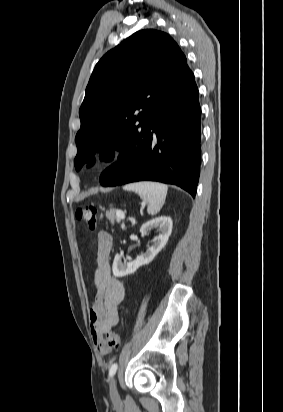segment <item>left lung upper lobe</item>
<instances>
[{
  "label": "left lung upper lobe",
  "mask_w": 283,
  "mask_h": 412,
  "mask_svg": "<svg viewBox=\"0 0 283 412\" xmlns=\"http://www.w3.org/2000/svg\"><path fill=\"white\" fill-rule=\"evenodd\" d=\"M191 72L186 57L166 33L141 30L96 64L79 110L75 168L114 157L129 138L146 131L157 111Z\"/></svg>",
  "instance_id": "5c2ea615"
}]
</instances>
